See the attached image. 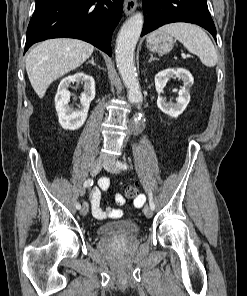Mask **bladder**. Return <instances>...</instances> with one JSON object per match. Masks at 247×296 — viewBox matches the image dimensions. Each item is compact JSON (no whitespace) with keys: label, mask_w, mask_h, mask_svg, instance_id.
I'll list each match as a JSON object with an SVG mask.
<instances>
[{"label":"bladder","mask_w":247,"mask_h":296,"mask_svg":"<svg viewBox=\"0 0 247 296\" xmlns=\"http://www.w3.org/2000/svg\"><path fill=\"white\" fill-rule=\"evenodd\" d=\"M98 233L104 237L129 236L139 231V226L131 220L109 222L98 228Z\"/></svg>","instance_id":"obj_1"}]
</instances>
